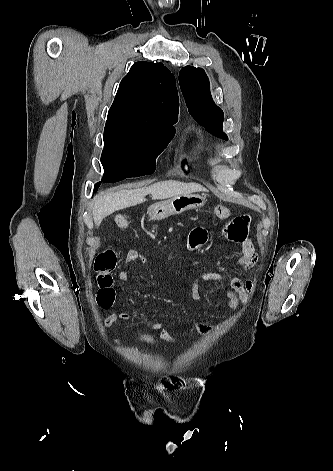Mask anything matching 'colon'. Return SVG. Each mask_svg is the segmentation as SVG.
<instances>
[{"label": "colon", "mask_w": 333, "mask_h": 471, "mask_svg": "<svg viewBox=\"0 0 333 471\" xmlns=\"http://www.w3.org/2000/svg\"><path fill=\"white\" fill-rule=\"evenodd\" d=\"M214 214L221 219L230 216V209L225 206H216ZM115 224L122 228H128L129 221L123 215L115 217ZM117 263V253L114 249L108 248L99 253L95 259L94 270L96 271V279L99 287L97 301L102 308H109L114 300L113 271ZM161 338L150 333L142 332L137 335V341L144 344H157Z\"/></svg>", "instance_id": "5ec220e1"}]
</instances>
